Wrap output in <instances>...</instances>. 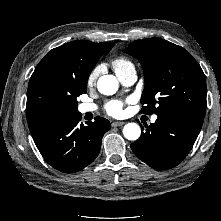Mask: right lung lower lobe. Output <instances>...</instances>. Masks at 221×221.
Masks as SVG:
<instances>
[{"instance_id":"obj_1","label":"right lung lower lobe","mask_w":221,"mask_h":221,"mask_svg":"<svg viewBox=\"0 0 221 221\" xmlns=\"http://www.w3.org/2000/svg\"><path fill=\"white\" fill-rule=\"evenodd\" d=\"M81 114L65 111L39 117L28 123L43 158L58 171L74 173L89 165L99 154L101 140L111 125L102 117L86 126Z\"/></svg>"}]
</instances>
